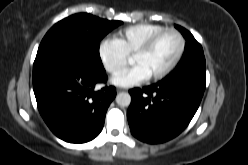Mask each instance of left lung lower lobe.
Here are the masks:
<instances>
[{
  "instance_id": "obj_1",
  "label": "left lung lower lobe",
  "mask_w": 248,
  "mask_h": 165,
  "mask_svg": "<svg viewBox=\"0 0 248 165\" xmlns=\"http://www.w3.org/2000/svg\"><path fill=\"white\" fill-rule=\"evenodd\" d=\"M206 68L129 91L127 119L131 133L146 143H162L179 135L196 113L205 90Z\"/></svg>"
}]
</instances>
